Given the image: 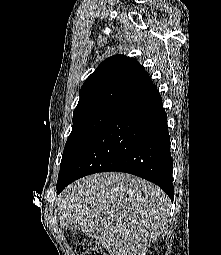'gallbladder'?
<instances>
[{
    "label": "gallbladder",
    "mask_w": 221,
    "mask_h": 255,
    "mask_svg": "<svg viewBox=\"0 0 221 255\" xmlns=\"http://www.w3.org/2000/svg\"><path fill=\"white\" fill-rule=\"evenodd\" d=\"M70 231L72 232V234H77V232L79 231V225L77 223H74L70 226Z\"/></svg>",
    "instance_id": "bac80fb5"
}]
</instances>
